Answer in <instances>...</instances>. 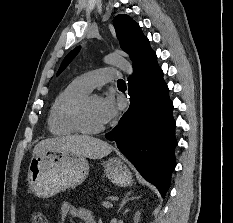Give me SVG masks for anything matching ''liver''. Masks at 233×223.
Here are the masks:
<instances>
[{
  "mask_svg": "<svg viewBox=\"0 0 233 223\" xmlns=\"http://www.w3.org/2000/svg\"><path fill=\"white\" fill-rule=\"evenodd\" d=\"M41 149H63L75 155H85L89 159H102L111 153L113 145L91 135H62V137H48L39 141L34 147V155Z\"/></svg>",
  "mask_w": 233,
  "mask_h": 223,
  "instance_id": "6515ba94",
  "label": "liver"
}]
</instances>
